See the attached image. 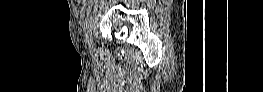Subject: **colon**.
<instances>
[{"mask_svg": "<svg viewBox=\"0 0 263 92\" xmlns=\"http://www.w3.org/2000/svg\"><path fill=\"white\" fill-rule=\"evenodd\" d=\"M81 2L87 3V2H90V1H81Z\"/></svg>", "mask_w": 263, "mask_h": 92, "instance_id": "obj_1", "label": "colon"}]
</instances>
